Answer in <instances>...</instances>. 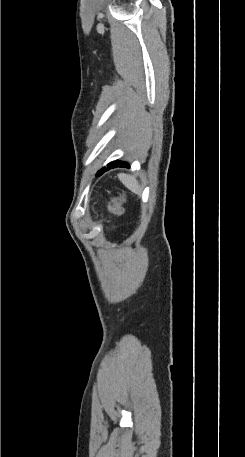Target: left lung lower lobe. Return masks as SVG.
<instances>
[{
	"label": "left lung lower lobe",
	"mask_w": 245,
	"mask_h": 457,
	"mask_svg": "<svg viewBox=\"0 0 245 457\" xmlns=\"http://www.w3.org/2000/svg\"><path fill=\"white\" fill-rule=\"evenodd\" d=\"M116 167H129V164H127L126 162L124 161H113L111 163H109L107 165V168H102L98 173H97V176H100L104 171H107L109 169H112V168H116Z\"/></svg>",
	"instance_id": "left-lung-lower-lobe-1"
}]
</instances>
